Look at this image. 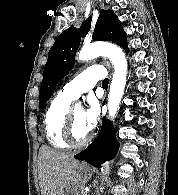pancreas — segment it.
<instances>
[{"instance_id": "pancreas-1", "label": "pancreas", "mask_w": 178, "mask_h": 195, "mask_svg": "<svg viewBox=\"0 0 178 195\" xmlns=\"http://www.w3.org/2000/svg\"><path fill=\"white\" fill-rule=\"evenodd\" d=\"M81 195H87V193L83 192Z\"/></svg>"}]
</instances>
